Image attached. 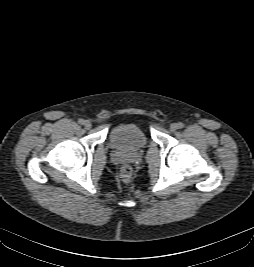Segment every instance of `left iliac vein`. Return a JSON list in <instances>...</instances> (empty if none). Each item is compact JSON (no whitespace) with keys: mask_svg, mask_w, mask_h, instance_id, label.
Returning <instances> with one entry per match:
<instances>
[{"mask_svg":"<svg viewBox=\"0 0 254 267\" xmlns=\"http://www.w3.org/2000/svg\"><path fill=\"white\" fill-rule=\"evenodd\" d=\"M178 129V124L176 123H173L170 125V131L174 132Z\"/></svg>","mask_w":254,"mask_h":267,"instance_id":"1","label":"left iliac vein"}]
</instances>
